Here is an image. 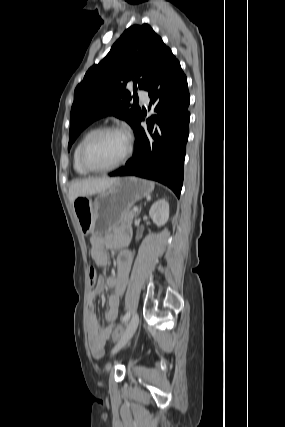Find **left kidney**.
<instances>
[{
	"mask_svg": "<svg viewBox=\"0 0 285 427\" xmlns=\"http://www.w3.org/2000/svg\"><path fill=\"white\" fill-rule=\"evenodd\" d=\"M149 216L159 227L163 226L169 218V204L165 199L156 201L149 211Z\"/></svg>",
	"mask_w": 285,
	"mask_h": 427,
	"instance_id": "left-kidney-1",
	"label": "left kidney"
}]
</instances>
